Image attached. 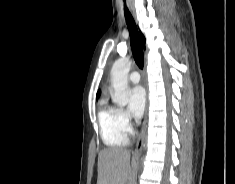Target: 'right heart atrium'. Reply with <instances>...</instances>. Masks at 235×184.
<instances>
[{
  "instance_id": "d8ad5b80",
  "label": "right heart atrium",
  "mask_w": 235,
  "mask_h": 184,
  "mask_svg": "<svg viewBox=\"0 0 235 184\" xmlns=\"http://www.w3.org/2000/svg\"><path fill=\"white\" fill-rule=\"evenodd\" d=\"M117 114H118V120L120 122V125L122 126L124 131L127 134H131L133 131V125H132L131 118L128 112L124 109H117Z\"/></svg>"
}]
</instances>
